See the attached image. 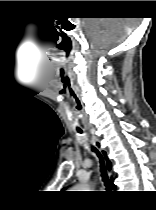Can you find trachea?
<instances>
[{
  "label": "trachea",
  "instance_id": "obj_1",
  "mask_svg": "<svg viewBox=\"0 0 156 210\" xmlns=\"http://www.w3.org/2000/svg\"><path fill=\"white\" fill-rule=\"evenodd\" d=\"M79 133H82V131H79ZM93 151H95L97 153V156L99 157L102 180H103L105 186L108 188L109 187V179H108V175H107V171H106V168L104 165V160L102 158V155L95 148H93Z\"/></svg>",
  "mask_w": 156,
  "mask_h": 210
}]
</instances>
